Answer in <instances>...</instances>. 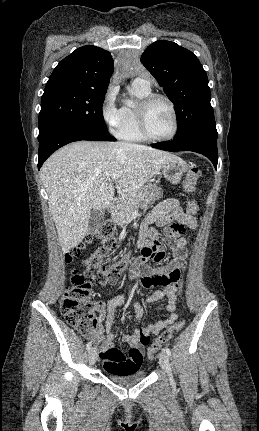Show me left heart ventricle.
I'll list each match as a JSON object with an SVG mask.
<instances>
[{
	"instance_id": "left-heart-ventricle-1",
	"label": "left heart ventricle",
	"mask_w": 259,
	"mask_h": 431,
	"mask_svg": "<svg viewBox=\"0 0 259 431\" xmlns=\"http://www.w3.org/2000/svg\"><path fill=\"white\" fill-rule=\"evenodd\" d=\"M148 128L155 137H166L173 129V116L162 100L155 101L148 110Z\"/></svg>"
}]
</instances>
